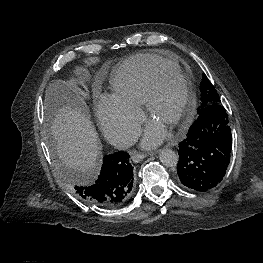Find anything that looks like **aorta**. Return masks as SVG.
<instances>
[{"instance_id": "obj_1", "label": "aorta", "mask_w": 263, "mask_h": 263, "mask_svg": "<svg viewBox=\"0 0 263 263\" xmlns=\"http://www.w3.org/2000/svg\"><path fill=\"white\" fill-rule=\"evenodd\" d=\"M160 162L166 167H174L177 165L179 157L171 149H163L159 153Z\"/></svg>"}]
</instances>
